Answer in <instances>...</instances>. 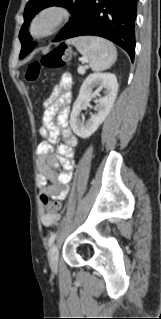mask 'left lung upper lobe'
<instances>
[{"mask_svg": "<svg viewBox=\"0 0 161 319\" xmlns=\"http://www.w3.org/2000/svg\"><path fill=\"white\" fill-rule=\"evenodd\" d=\"M91 0H29L24 11V24L20 30L19 38L22 44L20 54H23L27 49L28 44L31 45L29 51L34 48V43L31 42V37L28 33L27 27L32 18L42 9L49 6H62L67 8L72 14L73 18L69 20L64 29L55 37V41H61L66 34L74 27L78 20L85 13Z\"/></svg>", "mask_w": 161, "mask_h": 319, "instance_id": "1", "label": "left lung upper lobe"}]
</instances>
